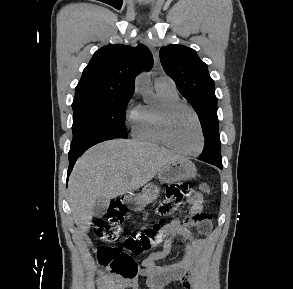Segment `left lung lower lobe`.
<instances>
[{"mask_svg":"<svg viewBox=\"0 0 293 289\" xmlns=\"http://www.w3.org/2000/svg\"><path fill=\"white\" fill-rule=\"evenodd\" d=\"M221 146L219 132H211L207 136H205V145L202 154L199 156V159L210 163L212 165L217 166L218 168L222 169V162H211L208 159V155L214 153L216 149Z\"/></svg>","mask_w":293,"mask_h":289,"instance_id":"1","label":"left lung lower lobe"}]
</instances>
